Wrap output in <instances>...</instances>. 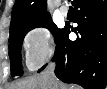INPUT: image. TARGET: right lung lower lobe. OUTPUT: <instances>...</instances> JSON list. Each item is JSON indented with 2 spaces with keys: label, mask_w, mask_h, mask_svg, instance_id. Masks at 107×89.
<instances>
[{
  "label": "right lung lower lobe",
  "mask_w": 107,
  "mask_h": 89,
  "mask_svg": "<svg viewBox=\"0 0 107 89\" xmlns=\"http://www.w3.org/2000/svg\"><path fill=\"white\" fill-rule=\"evenodd\" d=\"M73 5L78 26L71 29L66 25L56 41L55 74L66 83L79 84L86 89H105L107 0H74ZM71 31H78L80 37L69 40Z\"/></svg>",
  "instance_id": "1"
}]
</instances>
